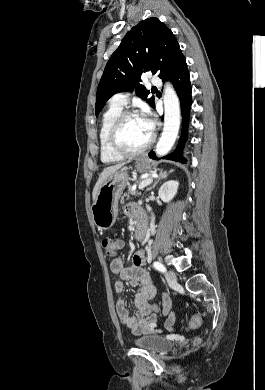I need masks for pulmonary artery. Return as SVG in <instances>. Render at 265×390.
Segmentation results:
<instances>
[{
    "label": "pulmonary artery",
    "mask_w": 265,
    "mask_h": 390,
    "mask_svg": "<svg viewBox=\"0 0 265 390\" xmlns=\"http://www.w3.org/2000/svg\"><path fill=\"white\" fill-rule=\"evenodd\" d=\"M150 82L154 86L160 87L162 85L161 80L154 74H152L150 76ZM127 101H128V94L127 93H120V94L115 95L112 98L111 104L123 107L127 104Z\"/></svg>",
    "instance_id": "pulmonary-artery-1"
}]
</instances>
